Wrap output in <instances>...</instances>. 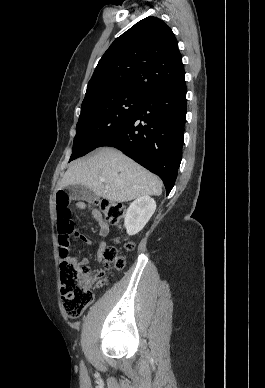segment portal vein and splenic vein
<instances>
[{
  "mask_svg": "<svg viewBox=\"0 0 265 388\" xmlns=\"http://www.w3.org/2000/svg\"><path fill=\"white\" fill-rule=\"evenodd\" d=\"M100 182H105L104 178H100ZM108 188V186H106Z\"/></svg>",
  "mask_w": 265,
  "mask_h": 388,
  "instance_id": "1",
  "label": "portal vein and splenic vein"
}]
</instances>
